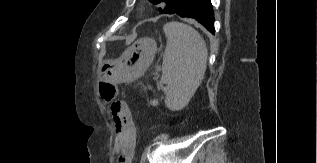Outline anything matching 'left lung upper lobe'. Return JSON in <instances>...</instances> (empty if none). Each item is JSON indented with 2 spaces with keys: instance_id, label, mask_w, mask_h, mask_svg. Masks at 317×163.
<instances>
[{
  "instance_id": "1",
  "label": "left lung upper lobe",
  "mask_w": 317,
  "mask_h": 163,
  "mask_svg": "<svg viewBox=\"0 0 317 163\" xmlns=\"http://www.w3.org/2000/svg\"><path fill=\"white\" fill-rule=\"evenodd\" d=\"M150 1L154 4L165 2L166 6L162 9L159 8L160 13L164 12V13L172 14L176 11V9L178 8V6L183 0H150Z\"/></svg>"
}]
</instances>
